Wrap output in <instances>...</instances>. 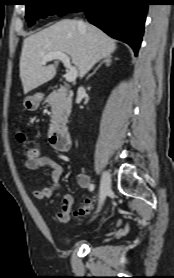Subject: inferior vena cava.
Returning <instances> with one entry per match:
<instances>
[{
	"mask_svg": "<svg viewBox=\"0 0 174 278\" xmlns=\"http://www.w3.org/2000/svg\"><path fill=\"white\" fill-rule=\"evenodd\" d=\"M78 24H79V27H80V28H84V27H85V24H84L83 21H79Z\"/></svg>",
	"mask_w": 174,
	"mask_h": 278,
	"instance_id": "602c4592",
	"label": "inferior vena cava"
}]
</instances>
